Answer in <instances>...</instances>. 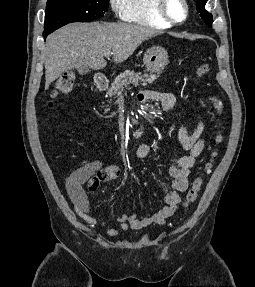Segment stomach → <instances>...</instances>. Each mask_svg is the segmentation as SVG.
<instances>
[{
  "instance_id": "1",
  "label": "stomach",
  "mask_w": 255,
  "mask_h": 287,
  "mask_svg": "<svg viewBox=\"0 0 255 287\" xmlns=\"http://www.w3.org/2000/svg\"><path fill=\"white\" fill-rule=\"evenodd\" d=\"M168 62V54L165 48H161V46H152L145 52L144 66L148 72H161Z\"/></svg>"
}]
</instances>
